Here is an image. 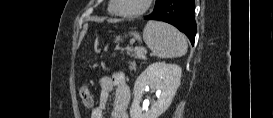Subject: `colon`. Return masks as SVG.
Here are the masks:
<instances>
[{
    "label": "colon",
    "instance_id": "1",
    "mask_svg": "<svg viewBox=\"0 0 273 118\" xmlns=\"http://www.w3.org/2000/svg\"><path fill=\"white\" fill-rule=\"evenodd\" d=\"M80 97H81V100L83 101V103L85 105H90L91 104V95H90L87 88H85V87L81 88Z\"/></svg>",
    "mask_w": 273,
    "mask_h": 118
}]
</instances>
